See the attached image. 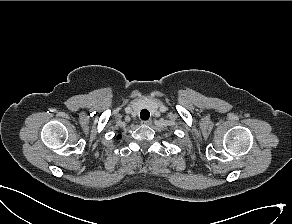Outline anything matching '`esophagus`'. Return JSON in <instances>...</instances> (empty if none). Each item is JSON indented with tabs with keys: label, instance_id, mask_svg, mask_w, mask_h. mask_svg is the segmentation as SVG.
Instances as JSON below:
<instances>
[{
	"label": "esophagus",
	"instance_id": "obj_1",
	"mask_svg": "<svg viewBox=\"0 0 292 224\" xmlns=\"http://www.w3.org/2000/svg\"><path fill=\"white\" fill-rule=\"evenodd\" d=\"M142 124L145 126H150L152 124V120L142 121Z\"/></svg>",
	"mask_w": 292,
	"mask_h": 224
}]
</instances>
